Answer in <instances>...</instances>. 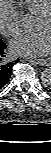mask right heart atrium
<instances>
[{"mask_svg":"<svg viewBox=\"0 0 51 153\" xmlns=\"http://www.w3.org/2000/svg\"><path fill=\"white\" fill-rule=\"evenodd\" d=\"M21 15L10 0H0V33L13 37L21 30Z\"/></svg>","mask_w":51,"mask_h":153,"instance_id":"d8ad5b80","label":"right heart atrium"}]
</instances>
